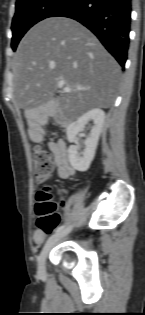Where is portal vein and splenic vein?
<instances>
[{
    "mask_svg": "<svg viewBox=\"0 0 145 315\" xmlns=\"http://www.w3.org/2000/svg\"><path fill=\"white\" fill-rule=\"evenodd\" d=\"M64 85H65V81H63V80L59 81L58 84H57L58 88L62 89L63 92H70V91H72L71 88L64 87ZM88 89L89 88H86V87H78V88H76V91H82V90H88Z\"/></svg>",
    "mask_w": 145,
    "mask_h": 315,
    "instance_id": "obj_1",
    "label": "portal vein and splenic vein"
}]
</instances>
